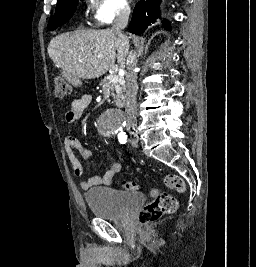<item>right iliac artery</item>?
I'll return each instance as SVG.
<instances>
[{
    "label": "right iliac artery",
    "instance_id": "right-iliac-artery-1",
    "mask_svg": "<svg viewBox=\"0 0 256 267\" xmlns=\"http://www.w3.org/2000/svg\"><path fill=\"white\" fill-rule=\"evenodd\" d=\"M118 139L121 144H125L127 142V136H121Z\"/></svg>",
    "mask_w": 256,
    "mask_h": 267
}]
</instances>
